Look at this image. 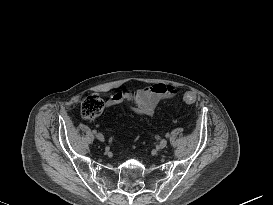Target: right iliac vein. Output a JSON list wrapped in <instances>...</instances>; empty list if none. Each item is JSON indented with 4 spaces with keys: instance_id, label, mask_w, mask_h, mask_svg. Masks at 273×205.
Listing matches in <instances>:
<instances>
[{
    "instance_id": "1",
    "label": "right iliac vein",
    "mask_w": 273,
    "mask_h": 205,
    "mask_svg": "<svg viewBox=\"0 0 273 205\" xmlns=\"http://www.w3.org/2000/svg\"><path fill=\"white\" fill-rule=\"evenodd\" d=\"M96 138H97L99 141H104V136H103V134H101V133H97V134H96Z\"/></svg>"
}]
</instances>
